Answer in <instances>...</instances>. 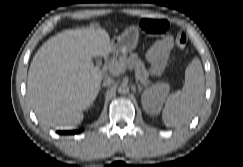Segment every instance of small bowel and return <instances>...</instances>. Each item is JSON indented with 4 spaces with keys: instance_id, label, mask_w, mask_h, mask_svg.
<instances>
[{
    "instance_id": "small-bowel-1",
    "label": "small bowel",
    "mask_w": 243,
    "mask_h": 167,
    "mask_svg": "<svg viewBox=\"0 0 243 167\" xmlns=\"http://www.w3.org/2000/svg\"><path fill=\"white\" fill-rule=\"evenodd\" d=\"M172 44V38L170 36H165L155 42L149 49L146 58L153 74L161 73L165 67Z\"/></svg>"
}]
</instances>
